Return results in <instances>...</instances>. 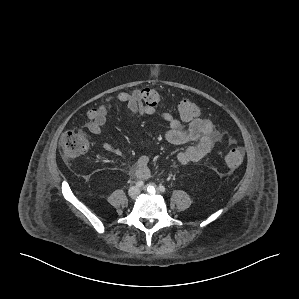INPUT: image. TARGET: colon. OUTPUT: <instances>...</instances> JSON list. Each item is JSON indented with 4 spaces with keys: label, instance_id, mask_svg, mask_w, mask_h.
<instances>
[{
    "label": "colon",
    "instance_id": "colon-1",
    "mask_svg": "<svg viewBox=\"0 0 299 299\" xmlns=\"http://www.w3.org/2000/svg\"><path fill=\"white\" fill-rule=\"evenodd\" d=\"M140 94L143 101L149 106H157L160 103V92L151 87H143L140 89ZM97 110H92L89 117L94 119ZM178 112L184 121H191L199 116V106L190 99L180 101L178 105ZM88 149V137L85 132L80 129H71L67 131L61 140L62 155L65 160L71 161L83 155ZM244 160V152L240 148H233L228 150L224 156L223 161L230 169L238 168Z\"/></svg>",
    "mask_w": 299,
    "mask_h": 299
}]
</instances>
